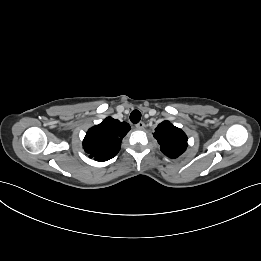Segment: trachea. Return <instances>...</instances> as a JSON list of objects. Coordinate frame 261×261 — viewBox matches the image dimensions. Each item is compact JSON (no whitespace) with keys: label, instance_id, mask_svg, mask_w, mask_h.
Listing matches in <instances>:
<instances>
[{"label":"trachea","instance_id":"obj_1","mask_svg":"<svg viewBox=\"0 0 261 261\" xmlns=\"http://www.w3.org/2000/svg\"><path fill=\"white\" fill-rule=\"evenodd\" d=\"M141 119V113L139 110H133L130 114V120L132 123L137 124Z\"/></svg>","mask_w":261,"mask_h":261}]
</instances>
